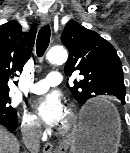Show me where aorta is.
Masks as SVG:
<instances>
[{"mask_svg": "<svg viewBox=\"0 0 130 153\" xmlns=\"http://www.w3.org/2000/svg\"><path fill=\"white\" fill-rule=\"evenodd\" d=\"M67 58V51L62 47L51 48L46 55V59L51 64H63L67 61Z\"/></svg>", "mask_w": 130, "mask_h": 153, "instance_id": "aorta-1", "label": "aorta"}]
</instances>
